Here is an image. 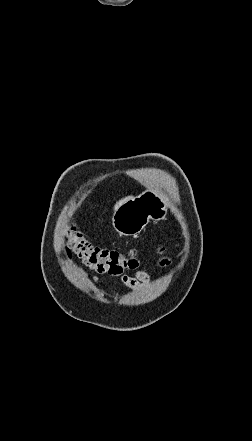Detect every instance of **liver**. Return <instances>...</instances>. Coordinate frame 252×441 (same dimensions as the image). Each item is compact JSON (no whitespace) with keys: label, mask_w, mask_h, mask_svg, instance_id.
Returning <instances> with one entry per match:
<instances>
[{"label":"liver","mask_w":252,"mask_h":441,"mask_svg":"<svg viewBox=\"0 0 252 441\" xmlns=\"http://www.w3.org/2000/svg\"><path fill=\"white\" fill-rule=\"evenodd\" d=\"M130 197H126V198H123V199H121V200H119L117 203H116V205H115V209L118 207V206H120L124 201H126L127 199H129Z\"/></svg>","instance_id":"1"}]
</instances>
